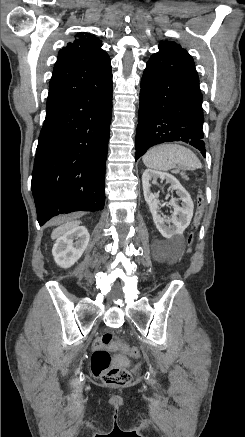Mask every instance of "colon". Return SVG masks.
<instances>
[{
  "label": "colon",
  "mask_w": 245,
  "mask_h": 437,
  "mask_svg": "<svg viewBox=\"0 0 245 437\" xmlns=\"http://www.w3.org/2000/svg\"><path fill=\"white\" fill-rule=\"evenodd\" d=\"M204 214V198L202 195L198 197L197 210L194 217V224L198 226ZM193 235L189 237L191 242ZM116 346L128 354L131 358L137 359L141 355V351L137 346H129L127 344H115V337L112 333H105L100 338H97L93 343V355L91 361V369L94 375L100 377L102 382L110 386H124L131 381V374L123 368H115L111 366V355L109 348Z\"/></svg>",
  "instance_id": "colon-1"
}]
</instances>
